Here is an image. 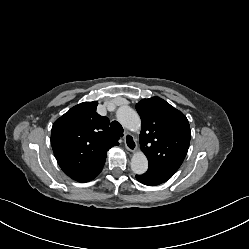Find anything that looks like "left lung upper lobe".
<instances>
[{"mask_svg":"<svg viewBox=\"0 0 249 249\" xmlns=\"http://www.w3.org/2000/svg\"><path fill=\"white\" fill-rule=\"evenodd\" d=\"M142 121L140 147L149 169L173 176L187 154L191 131L186 116L159 97L136 104Z\"/></svg>","mask_w":249,"mask_h":249,"instance_id":"obj_1","label":"left lung upper lobe"}]
</instances>
